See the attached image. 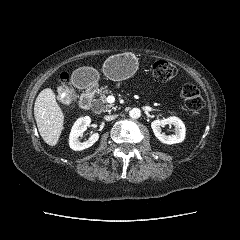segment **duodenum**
I'll return each mask as SVG.
<instances>
[{
	"instance_id": "1",
	"label": "duodenum",
	"mask_w": 240,
	"mask_h": 240,
	"mask_svg": "<svg viewBox=\"0 0 240 240\" xmlns=\"http://www.w3.org/2000/svg\"><path fill=\"white\" fill-rule=\"evenodd\" d=\"M81 86L84 88V93L80 98V107L84 110H88L91 106L95 85L92 83H88L86 79H83Z\"/></svg>"
}]
</instances>
